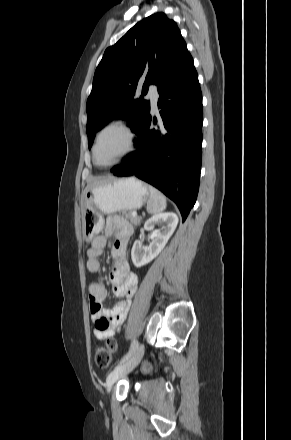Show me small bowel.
Here are the masks:
<instances>
[{
    "instance_id": "small-bowel-1",
    "label": "small bowel",
    "mask_w": 291,
    "mask_h": 440,
    "mask_svg": "<svg viewBox=\"0 0 291 440\" xmlns=\"http://www.w3.org/2000/svg\"><path fill=\"white\" fill-rule=\"evenodd\" d=\"M130 236L131 227L128 222L119 218H109L105 225V235L96 237L87 249L86 267L90 272L97 273L101 269L99 257L106 246L107 239L113 240V254L118 264L110 275L113 284L112 293L116 297L124 298L111 309H101L100 303L106 297L107 289L102 281H95L89 285L90 312L95 323L94 335L100 340L114 335L119 330L137 289L138 278L129 272L125 252V246ZM103 320H107L108 324L103 323ZM143 369L145 372H152L155 366L153 363H149Z\"/></svg>"
}]
</instances>
